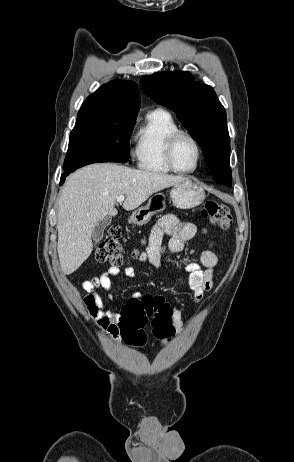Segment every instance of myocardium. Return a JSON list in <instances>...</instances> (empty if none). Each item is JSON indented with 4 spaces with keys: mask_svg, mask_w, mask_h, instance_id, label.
I'll use <instances>...</instances> for the list:
<instances>
[{
    "mask_svg": "<svg viewBox=\"0 0 294 462\" xmlns=\"http://www.w3.org/2000/svg\"><path fill=\"white\" fill-rule=\"evenodd\" d=\"M181 138H186V139L190 140L193 143V145L195 146V149H196V152H197L196 164L191 169H187V170L180 169L176 165V163L174 161V148H175V145L178 142V140L181 139ZM165 160H166L167 165L174 172L182 173V174L193 173L199 168L201 160H202L201 146H200L199 142L197 141V139L193 135H191L190 133H188L186 131H183V130H177V131L173 132L168 137V139L166 141Z\"/></svg>",
    "mask_w": 294,
    "mask_h": 462,
    "instance_id": "obj_1",
    "label": "myocardium"
}]
</instances>
